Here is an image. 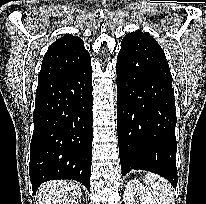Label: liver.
Here are the masks:
<instances>
[{"mask_svg":"<svg viewBox=\"0 0 206 204\" xmlns=\"http://www.w3.org/2000/svg\"><path fill=\"white\" fill-rule=\"evenodd\" d=\"M81 196L80 184L75 181H49L37 192L39 204H76Z\"/></svg>","mask_w":206,"mask_h":204,"instance_id":"6515ba94","label":"liver"}]
</instances>
